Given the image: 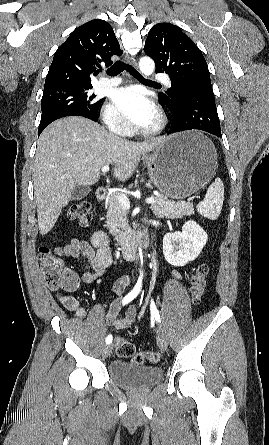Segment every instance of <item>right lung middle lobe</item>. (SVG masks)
<instances>
[{
    "instance_id": "1",
    "label": "right lung middle lobe",
    "mask_w": 269,
    "mask_h": 445,
    "mask_svg": "<svg viewBox=\"0 0 269 445\" xmlns=\"http://www.w3.org/2000/svg\"><path fill=\"white\" fill-rule=\"evenodd\" d=\"M92 85L66 86L43 91L41 100L42 116L39 125L41 133L51 122L65 116H84L96 120L100 104L96 95L89 90Z\"/></svg>"
}]
</instances>
